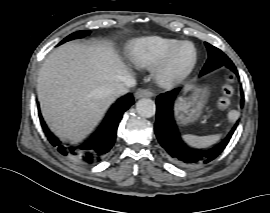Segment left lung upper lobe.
Wrapping results in <instances>:
<instances>
[{"instance_id":"1","label":"left lung upper lobe","mask_w":270,"mask_h":213,"mask_svg":"<svg viewBox=\"0 0 270 213\" xmlns=\"http://www.w3.org/2000/svg\"><path fill=\"white\" fill-rule=\"evenodd\" d=\"M205 45L208 49V60L200 72L201 76L223 65L227 67L234 65L233 62L221 50L206 42Z\"/></svg>"}]
</instances>
